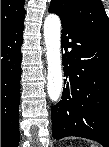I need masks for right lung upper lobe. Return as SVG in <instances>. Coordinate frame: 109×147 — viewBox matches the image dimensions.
Wrapping results in <instances>:
<instances>
[{"label":"right lung upper lobe","instance_id":"1","mask_svg":"<svg viewBox=\"0 0 109 147\" xmlns=\"http://www.w3.org/2000/svg\"><path fill=\"white\" fill-rule=\"evenodd\" d=\"M24 17V0H1V33L15 28Z\"/></svg>","mask_w":109,"mask_h":147}]
</instances>
